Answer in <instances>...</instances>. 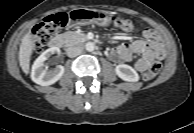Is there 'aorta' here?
<instances>
[{
	"mask_svg": "<svg viewBox=\"0 0 194 133\" xmlns=\"http://www.w3.org/2000/svg\"><path fill=\"white\" fill-rule=\"evenodd\" d=\"M85 49L88 51V52H92L94 51L95 49V44L93 42H88L86 43L85 45Z\"/></svg>",
	"mask_w": 194,
	"mask_h": 133,
	"instance_id": "1",
	"label": "aorta"
}]
</instances>
